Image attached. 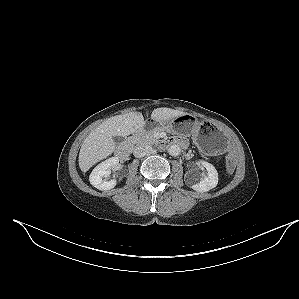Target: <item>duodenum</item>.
Segmentation results:
<instances>
[{
	"mask_svg": "<svg viewBox=\"0 0 299 299\" xmlns=\"http://www.w3.org/2000/svg\"><path fill=\"white\" fill-rule=\"evenodd\" d=\"M174 144L183 146L185 144V142L179 138H175V139H171V140H163L160 142L161 147H169ZM131 149H132V144H131V142L127 141V142L122 143L118 147L116 153L120 158H127L130 155Z\"/></svg>",
	"mask_w": 299,
	"mask_h": 299,
	"instance_id": "obj_1",
	"label": "duodenum"
}]
</instances>
